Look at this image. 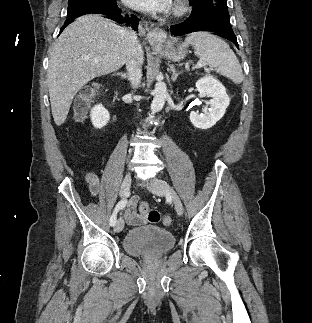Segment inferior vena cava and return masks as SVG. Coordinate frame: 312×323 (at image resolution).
I'll return each instance as SVG.
<instances>
[{
	"label": "inferior vena cava",
	"instance_id": "inferior-vena-cava-1",
	"mask_svg": "<svg viewBox=\"0 0 312 323\" xmlns=\"http://www.w3.org/2000/svg\"><path fill=\"white\" fill-rule=\"evenodd\" d=\"M127 42L129 44L128 56L126 60V68L128 72V80L131 82L133 90L139 88L142 78L143 52L142 46L139 44L136 32L127 30Z\"/></svg>",
	"mask_w": 312,
	"mask_h": 323
}]
</instances>
